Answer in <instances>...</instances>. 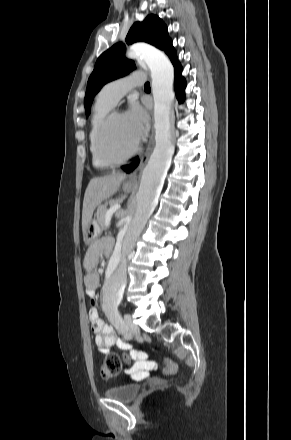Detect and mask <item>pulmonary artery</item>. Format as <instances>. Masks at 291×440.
Instances as JSON below:
<instances>
[{"mask_svg":"<svg viewBox=\"0 0 291 440\" xmlns=\"http://www.w3.org/2000/svg\"><path fill=\"white\" fill-rule=\"evenodd\" d=\"M145 82L142 73L136 72L108 82L99 92V98L110 106H115L118 101L132 88L141 86Z\"/></svg>","mask_w":291,"mask_h":440,"instance_id":"obj_1","label":"pulmonary artery"}]
</instances>
